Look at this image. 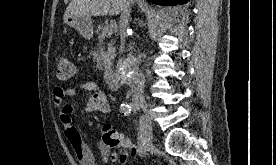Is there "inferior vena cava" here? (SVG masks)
I'll list each match as a JSON object with an SVG mask.
<instances>
[{
	"label": "inferior vena cava",
	"instance_id": "obj_1",
	"mask_svg": "<svg viewBox=\"0 0 276 165\" xmlns=\"http://www.w3.org/2000/svg\"><path fill=\"white\" fill-rule=\"evenodd\" d=\"M133 0H124L122 12L119 20V32L121 37L120 50L123 52L125 48V39L127 36V28L130 16V4ZM128 71L131 72V93L133 101L144 102V79L138 65L131 64L128 66Z\"/></svg>",
	"mask_w": 276,
	"mask_h": 165
}]
</instances>
